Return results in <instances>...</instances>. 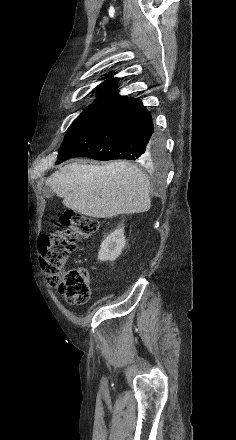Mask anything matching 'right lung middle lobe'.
Listing matches in <instances>:
<instances>
[{"label": "right lung middle lobe", "mask_w": 236, "mask_h": 440, "mask_svg": "<svg viewBox=\"0 0 236 440\" xmlns=\"http://www.w3.org/2000/svg\"><path fill=\"white\" fill-rule=\"evenodd\" d=\"M113 107L103 105H90L86 108L70 125L66 132L65 139L61 146L66 144L69 140L91 127L105 114L110 112ZM164 159V150L160 143L156 142L154 149L148 155L146 162L158 163Z\"/></svg>", "instance_id": "obj_1"}]
</instances>
